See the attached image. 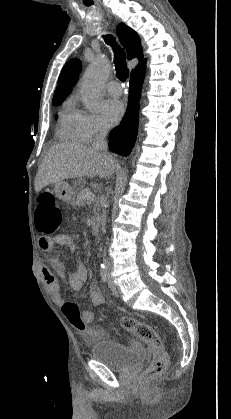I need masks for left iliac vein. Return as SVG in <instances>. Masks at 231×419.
I'll list each match as a JSON object with an SVG mask.
<instances>
[{
  "mask_svg": "<svg viewBox=\"0 0 231 419\" xmlns=\"http://www.w3.org/2000/svg\"><path fill=\"white\" fill-rule=\"evenodd\" d=\"M106 271H107V276H108V285H109V288L111 289V291H112V293L114 295L119 296L120 292H119V290L117 289V287H116V285L114 283V280H113V277L111 275L110 269H107Z\"/></svg>",
  "mask_w": 231,
  "mask_h": 419,
  "instance_id": "1",
  "label": "left iliac vein"
}]
</instances>
